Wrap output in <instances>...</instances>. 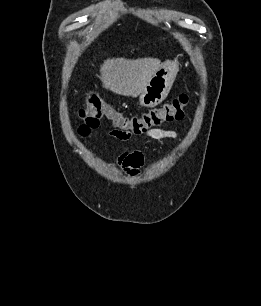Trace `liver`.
Wrapping results in <instances>:
<instances>
[{
  "instance_id": "liver-1",
  "label": "liver",
  "mask_w": 261,
  "mask_h": 306,
  "mask_svg": "<svg viewBox=\"0 0 261 306\" xmlns=\"http://www.w3.org/2000/svg\"><path fill=\"white\" fill-rule=\"evenodd\" d=\"M160 63L156 58L107 59L100 67V80L104 88L116 94L136 97L147 86Z\"/></svg>"
}]
</instances>
